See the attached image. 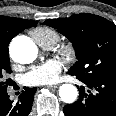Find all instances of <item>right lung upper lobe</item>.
Segmentation results:
<instances>
[{"instance_id": "cb5924a9", "label": "right lung upper lobe", "mask_w": 116, "mask_h": 116, "mask_svg": "<svg viewBox=\"0 0 116 116\" xmlns=\"http://www.w3.org/2000/svg\"><path fill=\"white\" fill-rule=\"evenodd\" d=\"M35 25L34 21L0 16V51H8V45L13 37Z\"/></svg>"}]
</instances>
